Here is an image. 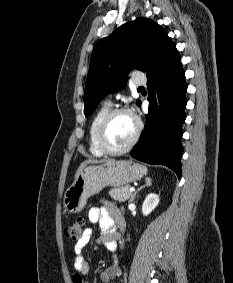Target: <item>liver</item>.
<instances>
[{
	"label": "liver",
	"instance_id": "1",
	"mask_svg": "<svg viewBox=\"0 0 233 283\" xmlns=\"http://www.w3.org/2000/svg\"><path fill=\"white\" fill-rule=\"evenodd\" d=\"M113 159H104V160H93V159H89V160H86L84 162H82L79 166V168L77 169V172L75 174V178H77L78 174L81 172V170L87 166L88 164H97V163H105V162H108V161H111Z\"/></svg>",
	"mask_w": 233,
	"mask_h": 283
}]
</instances>
